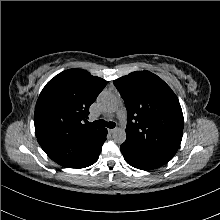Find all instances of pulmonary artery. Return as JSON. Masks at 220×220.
Masks as SVG:
<instances>
[{
    "instance_id": "pulmonary-artery-1",
    "label": "pulmonary artery",
    "mask_w": 220,
    "mask_h": 220,
    "mask_svg": "<svg viewBox=\"0 0 220 220\" xmlns=\"http://www.w3.org/2000/svg\"><path fill=\"white\" fill-rule=\"evenodd\" d=\"M118 117L122 122H126V112L123 107H121L118 111Z\"/></svg>"
}]
</instances>
